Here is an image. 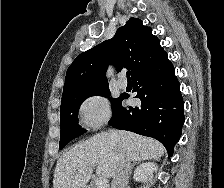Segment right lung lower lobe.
Wrapping results in <instances>:
<instances>
[{
    "label": "right lung lower lobe",
    "instance_id": "obj_1",
    "mask_svg": "<svg viewBox=\"0 0 224 188\" xmlns=\"http://www.w3.org/2000/svg\"><path fill=\"white\" fill-rule=\"evenodd\" d=\"M132 80L133 91H137L135 98L141 100V105L123 107L122 102L129 95L122 94L113 108L109 125L155 138L165 146L169 157L172 156L185 119L180 85L167 53Z\"/></svg>",
    "mask_w": 224,
    "mask_h": 188
}]
</instances>
